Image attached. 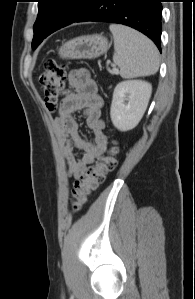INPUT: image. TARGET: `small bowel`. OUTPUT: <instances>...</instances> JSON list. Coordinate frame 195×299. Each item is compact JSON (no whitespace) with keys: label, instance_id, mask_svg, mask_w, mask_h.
Segmentation results:
<instances>
[{"label":"small bowel","instance_id":"small-bowel-1","mask_svg":"<svg viewBox=\"0 0 195 299\" xmlns=\"http://www.w3.org/2000/svg\"><path fill=\"white\" fill-rule=\"evenodd\" d=\"M71 90L65 92L58 116L53 125L68 173L79 179L107 147V137L103 132L104 122L101 118L102 99L98 94L95 81L85 69H75L69 74ZM83 111L86 126L94 133V141L85 139L79 132V125L74 114ZM82 155L77 158L74 150Z\"/></svg>","mask_w":195,"mask_h":299}]
</instances>
